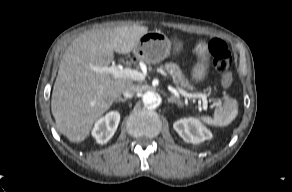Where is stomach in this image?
<instances>
[{"label": "stomach", "mask_w": 292, "mask_h": 192, "mask_svg": "<svg viewBox=\"0 0 292 192\" xmlns=\"http://www.w3.org/2000/svg\"><path fill=\"white\" fill-rule=\"evenodd\" d=\"M182 46L181 41L176 42L175 54L181 51ZM171 49V40L164 33L161 31H151L137 41L133 52L145 62L155 64L170 56ZM194 53L198 60L192 68L191 77L195 82H201L206 78L209 68L210 55L207 44L204 41H199L194 48Z\"/></svg>", "instance_id": "obj_1"}]
</instances>
